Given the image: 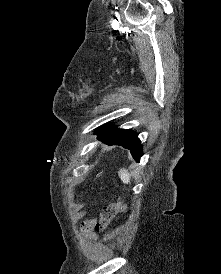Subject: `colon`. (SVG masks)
Returning a JSON list of instances; mask_svg holds the SVG:
<instances>
[{"label":"colon","instance_id":"obj_1","mask_svg":"<svg viewBox=\"0 0 221 274\" xmlns=\"http://www.w3.org/2000/svg\"><path fill=\"white\" fill-rule=\"evenodd\" d=\"M125 205L122 202L112 203L103 208L101 213V220L99 224V229H104L112 219L119 213L125 210Z\"/></svg>","mask_w":221,"mask_h":274}]
</instances>
